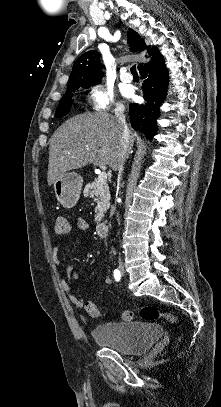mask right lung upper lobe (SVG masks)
Segmentation results:
<instances>
[{"label":"right lung upper lobe","mask_w":221,"mask_h":407,"mask_svg":"<svg viewBox=\"0 0 221 407\" xmlns=\"http://www.w3.org/2000/svg\"><path fill=\"white\" fill-rule=\"evenodd\" d=\"M128 43L131 51H141L148 49V53L154 55L156 48L146 46L143 39L139 38L138 34L130 29L128 34ZM101 54L97 51H88L81 55L74 63L72 73L69 77L67 91L78 89L80 87H89L96 85L103 77L102 65L100 64ZM141 65L138 66L140 68Z\"/></svg>","instance_id":"cb5924a9"}]
</instances>
